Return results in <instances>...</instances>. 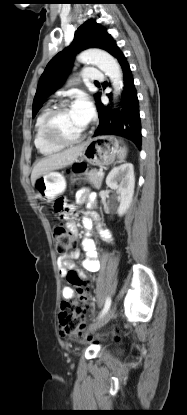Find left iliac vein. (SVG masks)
<instances>
[{
	"instance_id": "1",
	"label": "left iliac vein",
	"mask_w": 187,
	"mask_h": 415,
	"mask_svg": "<svg viewBox=\"0 0 187 415\" xmlns=\"http://www.w3.org/2000/svg\"><path fill=\"white\" fill-rule=\"evenodd\" d=\"M115 313H116V306H113L104 314V316L100 320H98L97 322H95L89 327V332H94L97 329L104 326L106 323L110 321V319H112L115 316Z\"/></svg>"
}]
</instances>
